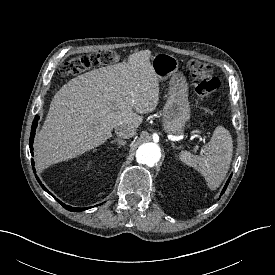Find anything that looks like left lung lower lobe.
I'll list each match as a JSON object with an SVG mask.
<instances>
[{
    "label": "left lung lower lobe",
    "mask_w": 275,
    "mask_h": 275,
    "mask_svg": "<svg viewBox=\"0 0 275 275\" xmlns=\"http://www.w3.org/2000/svg\"><path fill=\"white\" fill-rule=\"evenodd\" d=\"M230 178H231V176H230ZM230 178L228 179V181H227V183H226L224 189L222 190V193H221V194H223V193L225 192V190H226V188H227V185H228V183H229Z\"/></svg>",
    "instance_id": "1"
}]
</instances>
